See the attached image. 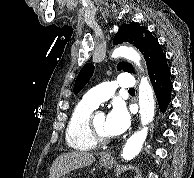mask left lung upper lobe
Segmentation results:
<instances>
[{
	"mask_svg": "<svg viewBox=\"0 0 194 178\" xmlns=\"http://www.w3.org/2000/svg\"><path fill=\"white\" fill-rule=\"evenodd\" d=\"M123 42H129L134 44L144 55L146 60L148 73L159 62V60L165 56L162 48L160 47L157 39L138 23L123 24L120 26L119 31L113 39V44H120ZM118 70L134 73L133 67L129 63L121 62L117 66ZM94 72V66L92 64H86L80 71L74 84V93L77 94L89 81Z\"/></svg>",
	"mask_w": 194,
	"mask_h": 178,
	"instance_id": "left-lung-upper-lobe-1",
	"label": "left lung upper lobe"
}]
</instances>
